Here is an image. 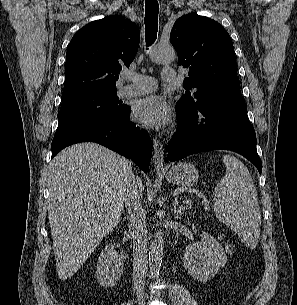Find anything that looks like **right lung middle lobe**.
<instances>
[{
	"label": "right lung middle lobe",
	"instance_id": "dd1d6c3e",
	"mask_svg": "<svg viewBox=\"0 0 297 305\" xmlns=\"http://www.w3.org/2000/svg\"><path fill=\"white\" fill-rule=\"evenodd\" d=\"M128 109L117 97V91L85 94L62 100L58 116V136L84 122L109 117H121Z\"/></svg>",
	"mask_w": 297,
	"mask_h": 305
}]
</instances>
